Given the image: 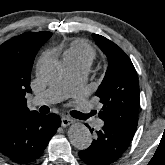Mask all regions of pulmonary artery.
Returning <instances> with one entry per match:
<instances>
[{
	"instance_id": "obj_1",
	"label": "pulmonary artery",
	"mask_w": 165,
	"mask_h": 165,
	"mask_svg": "<svg viewBox=\"0 0 165 165\" xmlns=\"http://www.w3.org/2000/svg\"><path fill=\"white\" fill-rule=\"evenodd\" d=\"M88 68L89 67L85 65L70 66L72 73L71 79L64 85L51 87L40 95L34 97L32 100V105H50L63 100L69 95L70 91L77 90L83 85ZM79 109L84 113L89 112L87 102L82 100L79 103ZM95 126L100 128L102 126V122L100 120H96Z\"/></svg>"
}]
</instances>
